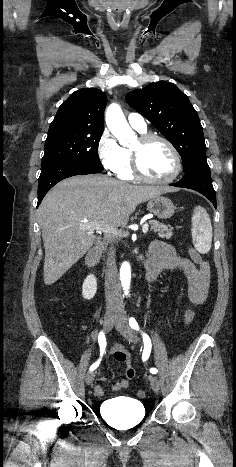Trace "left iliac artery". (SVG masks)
Masks as SVG:
<instances>
[{
    "label": "left iliac artery",
    "mask_w": 236,
    "mask_h": 467,
    "mask_svg": "<svg viewBox=\"0 0 236 467\" xmlns=\"http://www.w3.org/2000/svg\"><path fill=\"white\" fill-rule=\"evenodd\" d=\"M129 325H130V327L132 329H134L136 331H140L139 325H138V323H137V321H136V319L134 317H131L129 319ZM141 334H142L143 342H144V350H143L142 359H143V361H146L150 356L152 345H151V340H150L149 336L146 333H143L142 331H141ZM150 372L152 374H156L157 369L156 368H151Z\"/></svg>",
    "instance_id": "left-iliac-artery-1"
}]
</instances>
